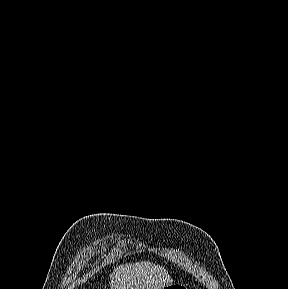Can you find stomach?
<instances>
[{
  "label": "stomach",
  "instance_id": "1",
  "mask_svg": "<svg viewBox=\"0 0 288 289\" xmlns=\"http://www.w3.org/2000/svg\"><path fill=\"white\" fill-rule=\"evenodd\" d=\"M165 289H186V288L180 284H172V285L165 287Z\"/></svg>",
  "mask_w": 288,
  "mask_h": 289
}]
</instances>
